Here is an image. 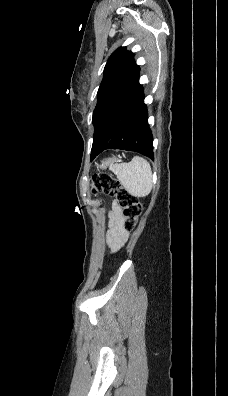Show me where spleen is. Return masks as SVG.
I'll list each match as a JSON object with an SVG mask.
<instances>
[{
  "instance_id": "1",
  "label": "spleen",
  "mask_w": 228,
  "mask_h": 396,
  "mask_svg": "<svg viewBox=\"0 0 228 396\" xmlns=\"http://www.w3.org/2000/svg\"><path fill=\"white\" fill-rule=\"evenodd\" d=\"M110 169L130 195L145 197L151 192L152 170L145 159L135 156L131 162L113 164Z\"/></svg>"
}]
</instances>
